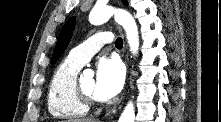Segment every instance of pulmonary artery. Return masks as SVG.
Listing matches in <instances>:
<instances>
[{"mask_svg": "<svg viewBox=\"0 0 221 122\" xmlns=\"http://www.w3.org/2000/svg\"><path fill=\"white\" fill-rule=\"evenodd\" d=\"M111 42L112 35L109 32L105 31L96 33L77 47L73 48L69 54V58L80 66H83L105 44Z\"/></svg>", "mask_w": 221, "mask_h": 122, "instance_id": "pulmonary-artery-1", "label": "pulmonary artery"}]
</instances>
